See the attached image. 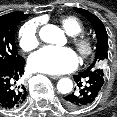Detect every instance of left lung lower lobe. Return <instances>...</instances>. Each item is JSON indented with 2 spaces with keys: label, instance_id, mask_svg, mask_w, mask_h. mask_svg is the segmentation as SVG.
Returning <instances> with one entry per match:
<instances>
[{
  "label": "left lung lower lobe",
  "instance_id": "left-lung-lower-lobe-1",
  "mask_svg": "<svg viewBox=\"0 0 117 117\" xmlns=\"http://www.w3.org/2000/svg\"><path fill=\"white\" fill-rule=\"evenodd\" d=\"M73 77L79 91L64 97V104L68 107L79 108L94 103L104 85V76L95 71L85 70Z\"/></svg>",
  "mask_w": 117,
  "mask_h": 117
}]
</instances>
